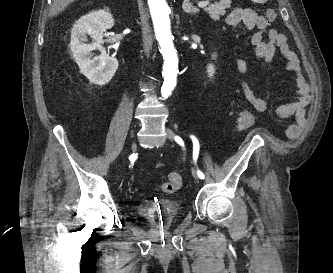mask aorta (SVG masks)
<instances>
[{"label": "aorta", "mask_w": 333, "mask_h": 273, "mask_svg": "<svg viewBox=\"0 0 333 273\" xmlns=\"http://www.w3.org/2000/svg\"><path fill=\"white\" fill-rule=\"evenodd\" d=\"M148 6L153 21L155 36L164 58L162 96L168 97L176 85L178 73V57L171 34L170 9L166 0H148Z\"/></svg>", "instance_id": "1"}]
</instances>
